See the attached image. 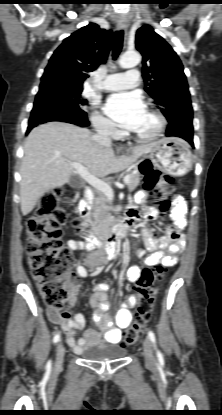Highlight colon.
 Here are the masks:
<instances>
[{
	"mask_svg": "<svg viewBox=\"0 0 222 415\" xmlns=\"http://www.w3.org/2000/svg\"><path fill=\"white\" fill-rule=\"evenodd\" d=\"M143 187L150 192L160 188L171 190L173 179L148 164H143ZM63 189L56 187L40 199L35 213L28 219L26 226L27 252L32 275L48 308L60 310L75 289L73 267L75 264L71 250L63 245L62 227L68 222L67 214L59 208ZM169 201H162L161 211L170 208ZM80 237L89 242L91 239L87 225L79 218L70 221ZM163 268H145L137 280L136 290L140 296L134 325L124 335V344L131 345L143 333L154 309L152 285L161 276Z\"/></svg>",
	"mask_w": 222,
	"mask_h": 415,
	"instance_id": "5ec220e1",
	"label": "colon"
}]
</instances>
